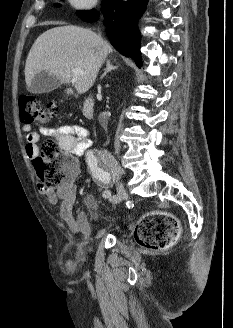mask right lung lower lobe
<instances>
[{
	"label": "right lung lower lobe",
	"mask_w": 233,
	"mask_h": 328,
	"mask_svg": "<svg viewBox=\"0 0 233 328\" xmlns=\"http://www.w3.org/2000/svg\"><path fill=\"white\" fill-rule=\"evenodd\" d=\"M148 0H103L101 11L105 18L106 32L113 47L122 55L135 60L141 67L140 32L138 20ZM88 22L98 19L95 10L78 12Z\"/></svg>",
	"instance_id": "1"
}]
</instances>
